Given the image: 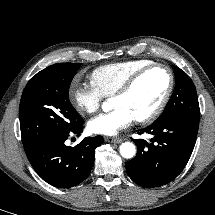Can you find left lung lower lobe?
Listing matches in <instances>:
<instances>
[{
    "mask_svg": "<svg viewBox=\"0 0 215 215\" xmlns=\"http://www.w3.org/2000/svg\"><path fill=\"white\" fill-rule=\"evenodd\" d=\"M199 122L171 118L139 130L154 137L148 143L134 139L136 156L126 163L129 177L143 187H159L175 179L193 151Z\"/></svg>",
    "mask_w": 215,
    "mask_h": 215,
    "instance_id": "1",
    "label": "left lung lower lobe"
}]
</instances>
